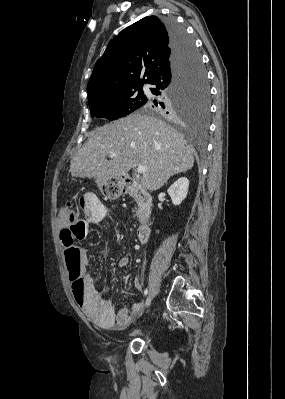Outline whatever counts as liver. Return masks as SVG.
I'll list each match as a JSON object with an SVG mask.
<instances>
[{
  "instance_id": "obj_1",
  "label": "liver",
  "mask_w": 285,
  "mask_h": 399,
  "mask_svg": "<svg viewBox=\"0 0 285 399\" xmlns=\"http://www.w3.org/2000/svg\"><path fill=\"white\" fill-rule=\"evenodd\" d=\"M111 153L116 156L107 160ZM195 149L167 123L134 113L100 127L72 157V176L110 179L127 176L133 167L145 165L141 186L160 189L170 177L191 169Z\"/></svg>"
}]
</instances>
